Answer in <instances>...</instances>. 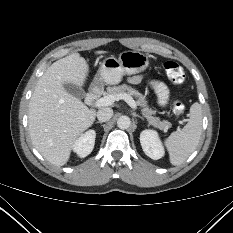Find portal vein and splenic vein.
Masks as SVG:
<instances>
[{"instance_id":"portal-vein-and-splenic-vein-1","label":"portal vein and splenic vein","mask_w":233,"mask_h":233,"mask_svg":"<svg viewBox=\"0 0 233 233\" xmlns=\"http://www.w3.org/2000/svg\"><path fill=\"white\" fill-rule=\"evenodd\" d=\"M123 99L131 108L136 109L137 105L134 99L128 94L107 95L95 102L96 107L110 106L115 101Z\"/></svg>"}]
</instances>
